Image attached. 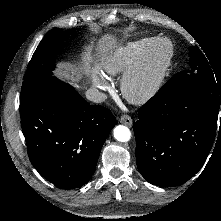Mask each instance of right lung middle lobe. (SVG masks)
I'll list each match as a JSON object with an SVG mask.
<instances>
[{"mask_svg":"<svg viewBox=\"0 0 221 221\" xmlns=\"http://www.w3.org/2000/svg\"><path fill=\"white\" fill-rule=\"evenodd\" d=\"M62 36V31L52 29L38 45L24 75L20 102H23L43 82L52 77V71L55 68L54 52L61 44Z\"/></svg>","mask_w":221,"mask_h":221,"instance_id":"right-lung-middle-lobe-1","label":"right lung middle lobe"}]
</instances>
